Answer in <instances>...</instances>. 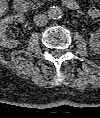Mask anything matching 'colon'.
I'll list each match as a JSON object with an SVG mask.
<instances>
[{
	"instance_id": "5ec220e1",
	"label": "colon",
	"mask_w": 100,
	"mask_h": 118,
	"mask_svg": "<svg viewBox=\"0 0 100 118\" xmlns=\"http://www.w3.org/2000/svg\"><path fill=\"white\" fill-rule=\"evenodd\" d=\"M90 14H91V16H92L93 18H97L100 13H99L98 8H93V9L91 10Z\"/></svg>"
}]
</instances>
